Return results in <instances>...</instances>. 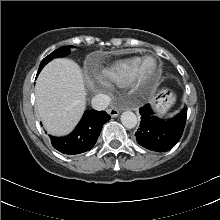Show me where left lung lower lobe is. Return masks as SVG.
Masks as SVG:
<instances>
[{"label": "left lung lower lobe", "instance_id": "1", "mask_svg": "<svg viewBox=\"0 0 220 220\" xmlns=\"http://www.w3.org/2000/svg\"><path fill=\"white\" fill-rule=\"evenodd\" d=\"M139 112L141 122L135 137L141 146L153 151L166 152L177 144L185 127L187 109L168 120L155 117L149 104L141 107Z\"/></svg>", "mask_w": 220, "mask_h": 220}]
</instances>
